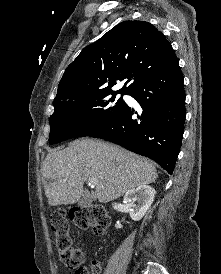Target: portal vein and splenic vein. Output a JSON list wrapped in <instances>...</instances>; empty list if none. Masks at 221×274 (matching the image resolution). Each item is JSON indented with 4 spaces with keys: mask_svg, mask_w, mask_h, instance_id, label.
I'll return each mask as SVG.
<instances>
[{
    "mask_svg": "<svg viewBox=\"0 0 221 274\" xmlns=\"http://www.w3.org/2000/svg\"><path fill=\"white\" fill-rule=\"evenodd\" d=\"M97 184H98V181H97L96 179H90V180H89V185L95 186V185H97Z\"/></svg>",
    "mask_w": 221,
    "mask_h": 274,
    "instance_id": "18ae733b",
    "label": "portal vein and splenic vein"
}]
</instances>
